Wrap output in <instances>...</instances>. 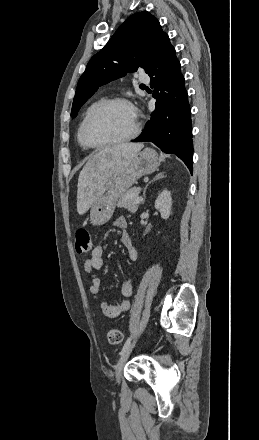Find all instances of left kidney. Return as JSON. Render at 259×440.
Returning <instances> with one entry per match:
<instances>
[{
    "mask_svg": "<svg viewBox=\"0 0 259 440\" xmlns=\"http://www.w3.org/2000/svg\"><path fill=\"white\" fill-rule=\"evenodd\" d=\"M172 197L171 192L163 190L155 201V209L158 210L163 219H168L171 215Z\"/></svg>",
    "mask_w": 259,
    "mask_h": 440,
    "instance_id": "5707ae66",
    "label": "left kidney"
}]
</instances>
